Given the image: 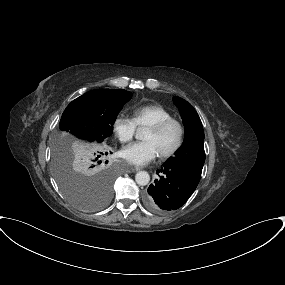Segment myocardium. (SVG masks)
I'll return each mask as SVG.
<instances>
[{
  "label": "myocardium",
  "mask_w": 285,
  "mask_h": 285,
  "mask_svg": "<svg viewBox=\"0 0 285 285\" xmlns=\"http://www.w3.org/2000/svg\"><path fill=\"white\" fill-rule=\"evenodd\" d=\"M171 124H175L178 128V132H179L178 140H177L176 144L171 149H169L166 152L159 154L160 158H162V159H167V158L174 156L181 149L183 142H184V137H185L184 126H183L181 121L171 117V118L162 120L160 122H157V123L149 126V128H148V129L158 133V132H161L164 129H166Z\"/></svg>",
  "instance_id": "1"
}]
</instances>
